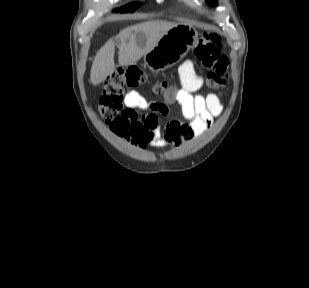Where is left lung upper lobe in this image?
Returning a JSON list of instances; mask_svg holds the SVG:
<instances>
[{"label":"left lung upper lobe","mask_w":309,"mask_h":288,"mask_svg":"<svg viewBox=\"0 0 309 288\" xmlns=\"http://www.w3.org/2000/svg\"><path fill=\"white\" fill-rule=\"evenodd\" d=\"M210 5H216L217 0H207Z\"/></svg>","instance_id":"1"}]
</instances>
